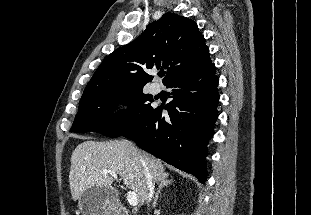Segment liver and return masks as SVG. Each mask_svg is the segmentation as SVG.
<instances>
[{"instance_id": "liver-1", "label": "liver", "mask_w": 311, "mask_h": 215, "mask_svg": "<svg viewBox=\"0 0 311 215\" xmlns=\"http://www.w3.org/2000/svg\"><path fill=\"white\" fill-rule=\"evenodd\" d=\"M142 160L154 182L160 181L167 174L159 159L139 151L128 141L87 140L80 143L71 155L69 184L73 200H79L86 189L94 186L112 188L113 177L103 173L107 169L120 175L124 185L136 194L142 206L148 196L147 176ZM114 193L117 199L115 189Z\"/></svg>"}]
</instances>
